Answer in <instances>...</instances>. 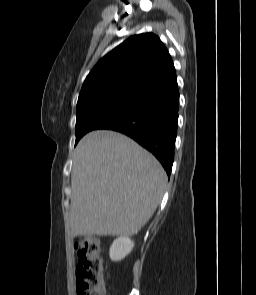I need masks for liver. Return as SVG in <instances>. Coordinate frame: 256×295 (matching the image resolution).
Returning <instances> with one entry per match:
<instances>
[{"mask_svg": "<svg viewBox=\"0 0 256 295\" xmlns=\"http://www.w3.org/2000/svg\"><path fill=\"white\" fill-rule=\"evenodd\" d=\"M166 184L159 161L129 137L86 134L73 158L71 236L134 235L152 217Z\"/></svg>", "mask_w": 256, "mask_h": 295, "instance_id": "6515ba94", "label": "liver"}]
</instances>
